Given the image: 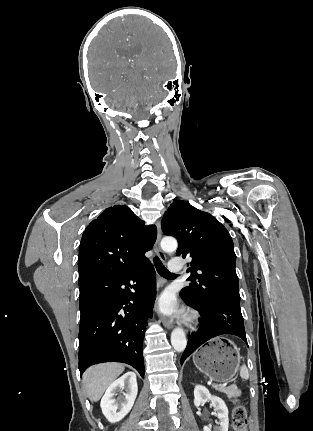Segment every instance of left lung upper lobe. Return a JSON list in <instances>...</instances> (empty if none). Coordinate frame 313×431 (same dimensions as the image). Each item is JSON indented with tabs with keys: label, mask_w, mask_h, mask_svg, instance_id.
I'll use <instances>...</instances> for the list:
<instances>
[{
	"label": "left lung upper lobe",
	"mask_w": 313,
	"mask_h": 431,
	"mask_svg": "<svg viewBox=\"0 0 313 431\" xmlns=\"http://www.w3.org/2000/svg\"><path fill=\"white\" fill-rule=\"evenodd\" d=\"M162 230L177 239V256L192 259L187 270L191 283L180 292L184 301L193 306L210 302L240 304L233 241L215 217L177 201L165 212Z\"/></svg>",
	"instance_id": "5c2ea615"
}]
</instances>
